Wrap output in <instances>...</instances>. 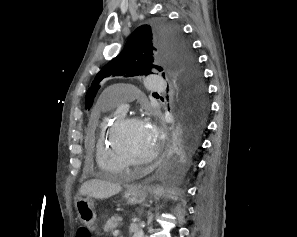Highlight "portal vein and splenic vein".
Masks as SVG:
<instances>
[{
	"label": "portal vein and splenic vein",
	"mask_w": 297,
	"mask_h": 237,
	"mask_svg": "<svg viewBox=\"0 0 297 237\" xmlns=\"http://www.w3.org/2000/svg\"><path fill=\"white\" fill-rule=\"evenodd\" d=\"M118 234H119V230L118 229L113 232V235L114 236H117Z\"/></svg>",
	"instance_id": "portal-vein-and-splenic-vein-1"
}]
</instances>
